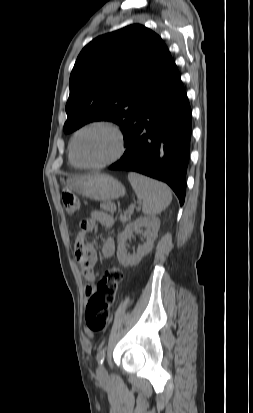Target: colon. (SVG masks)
<instances>
[{"mask_svg":"<svg viewBox=\"0 0 253 413\" xmlns=\"http://www.w3.org/2000/svg\"><path fill=\"white\" fill-rule=\"evenodd\" d=\"M62 202L68 215L73 216L79 212L80 203L73 193L63 191ZM123 278L124 272L121 267L110 268L101 277L90 295L85 316L87 327L91 332H100L106 328L111 315V306Z\"/></svg>","mask_w":253,"mask_h":413,"instance_id":"colon-1","label":"colon"}]
</instances>
